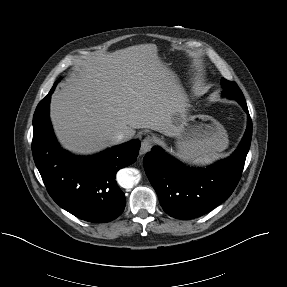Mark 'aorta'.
I'll return each instance as SVG.
<instances>
[{"mask_svg": "<svg viewBox=\"0 0 287 287\" xmlns=\"http://www.w3.org/2000/svg\"><path fill=\"white\" fill-rule=\"evenodd\" d=\"M119 184L124 188H132L136 183H138V176L132 169H124L118 173L117 176Z\"/></svg>", "mask_w": 287, "mask_h": 287, "instance_id": "aorta-1", "label": "aorta"}]
</instances>
